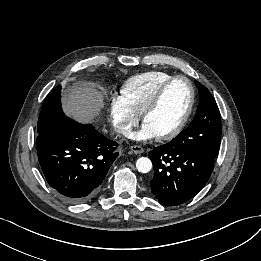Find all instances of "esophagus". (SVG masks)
<instances>
[{"label": "esophagus", "instance_id": "obj_1", "mask_svg": "<svg viewBox=\"0 0 261 261\" xmlns=\"http://www.w3.org/2000/svg\"><path fill=\"white\" fill-rule=\"evenodd\" d=\"M130 149L134 154H140V153H143V151H144V149L139 145H133V146H131Z\"/></svg>", "mask_w": 261, "mask_h": 261}]
</instances>
